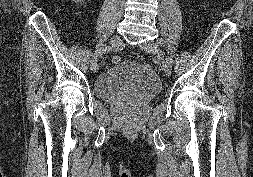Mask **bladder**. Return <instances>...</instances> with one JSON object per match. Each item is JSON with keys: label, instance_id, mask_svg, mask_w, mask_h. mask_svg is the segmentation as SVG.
I'll return each instance as SVG.
<instances>
[{"label": "bladder", "instance_id": "31cf9c89", "mask_svg": "<svg viewBox=\"0 0 253 177\" xmlns=\"http://www.w3.org/2000/svg\"><path fill=\"white\" fill-rule=\"evenodd\" d=\"M161 88L153 69L136 61H122L106 68L94 84L95 94L105 100L128 97L148 101L157 96Z\"/></svg>", "mask_w": 253, "mask_h": 177}]
</instances>
